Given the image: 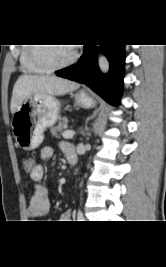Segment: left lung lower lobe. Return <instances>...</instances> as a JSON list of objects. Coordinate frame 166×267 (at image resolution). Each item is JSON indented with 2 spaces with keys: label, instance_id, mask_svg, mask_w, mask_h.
Returning <instances> with one entry per match:
<instances>
[{
  "label": "left lung lower lobe",
  "instance_id": "1",
  "mask_svg": "<svg viewBox=\"0 0 166 267\" xmlns=\"http://www.w3.org/2000/svg\"><path fill=\"white\" fill-rule=\"evenodd\" d=\"M101 46L110 62V71L107 75H103L99 71L96 53L91 45L84 46L80 63L58 70L55 73L60 77L87 85L108 103L117 105L123 85L125 45Z\"/></svg>",
  "mask_w": 166,
  "mask_h": 267
}]
</instances>
